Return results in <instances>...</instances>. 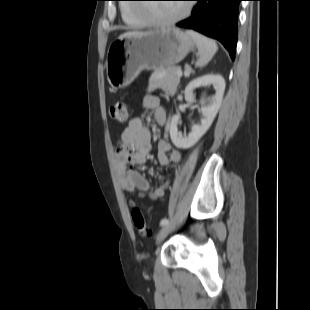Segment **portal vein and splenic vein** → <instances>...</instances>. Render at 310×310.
Segmentation results:
<instances>
[{"mask_svg":"<svg viewBox=\"0 0 310 310\" xmlns=\"http://www.w3.org/2000/svg\"><path fill=\"white\" fill-rule=\"evenodd\" d=\"M176 74L178 77H181L182 76V70L179 69ZM187 75H189V74H187Z\"/></svg>","mask_w":310,"mask_h":310,"instance_id":"portal-vein-and-splenic-vein-1","label":"portal vein and splenic vein"}]
</instances>
